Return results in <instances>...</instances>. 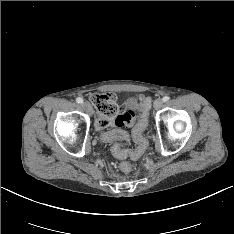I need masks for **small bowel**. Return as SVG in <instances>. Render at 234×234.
<instances>
[{"label": "small bowel", "mask_w": 234, "mask_h": 234, "mask_svg": "<svg viewBox=\"0 0 234 234\" xmlns=\"http://www.w3.org/2000/svg\"><path fill=\"white\" fill-rule=\"evenodd\" d=\"M140 101H141V104L139 103ZM143 101H144L143 97L139 98L137 96H133L130 99H128V101L126 102L125 107H124L125 111H123V112H125L127 114V116H126L127 122L122 127L127 126L130 128H133L132 136H133V131H134V127H135L134 122H135L136 113H137V115H140V112H142V110H143L142 102Z\"/></svg>", "instance_id": "obj_1"}]
</instances>
